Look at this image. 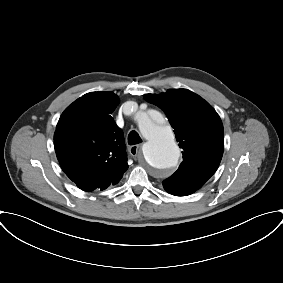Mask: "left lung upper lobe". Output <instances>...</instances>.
Wrapping results in <instances>:
<instances>
[{
    "instance_id": "left-lung-upper-lobe-1",
    "label": "left lung upper lobe",
    "mask_w": 283,
    "mask_h": 283,
    "mask_svg": "<svg viewBox=\"0 0 283 283\" xmlns=\"http://www.w3.org/2000/svg\"><path fill=\"white\" fill-rule=\"evenodd\" d=\"M146 99L167 115L183 161L178 170L162 182L165 190H197L217 170L224 150V130L216 111L187 89H169Z\"/></svg>"
}]
</instances>
